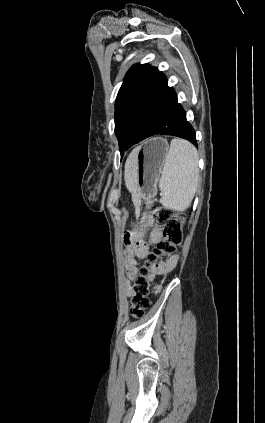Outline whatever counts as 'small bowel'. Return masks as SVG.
Masks as SVG:
<instances>
[{"instance_id": "c3829d8e", "label": "small bowel", "mask_w": 265, "mask_h": 423, "mask_svg": "<svg viewBox=\"0 0 265 423\" xmlns=\"http://www.w3.org/2000/svg\"><path fill=\"white\" fill-rule=\"evenodd\" d=\"M161 238V232L159 229H154L149 233V241L152 243L157 242ZM149 252V245L139 240V244L126 249L125 252V270H126V291L130 294L131 287L130 282L133 281L139 273L138 260L145 258ZM179 261L178 255H173L164 261L152 264L150 266L149 279L154 280L157 275H167L175 269Z\"/></svg>"}]
</instances>
